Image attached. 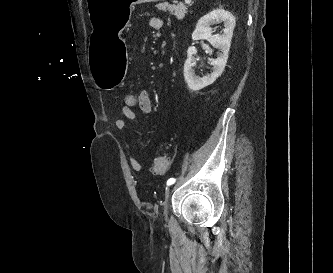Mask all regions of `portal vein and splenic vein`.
<instances>
[{
  "label": "portal vein and splenic vein",
  "mask_w": 333,
  "mask_h": 273,
  "mask_svg": "<svg viewBox=\"0 0 333 273\" xmlns=\"http://www.w3.org/2000/svg\"><path fill=\"white\" fill-rule=\"evenodd\" d=\"M185 3H186V4H190V3H191V0H185Z\"/></svg>",
  "instance_id": "18ae733b"
}]
</instances>
